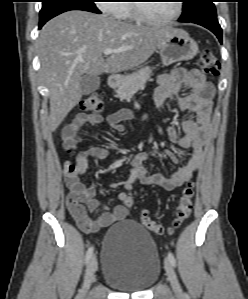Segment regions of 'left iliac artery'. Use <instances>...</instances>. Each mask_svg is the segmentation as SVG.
Listing matches in <instances>:
<instances>
[{
	"instance_id": "left-iliac-artery-1",
	"label": "left iliac artery",
	"mask_w": 248,
	"mask_h": 299,
	"mask_svg": "<svg viewBox=\"0 0 248 299\" xmlns=\"http://www.w3.org/2000/svg\"><path fill=\"white\" fill-rule=\"evenodd\" d=\"M168 260L170 261V263H171L174 267L176 266V260H175V257H174V255H173L171 252L168 253Z\"/></svg>"
}]
</instances>
